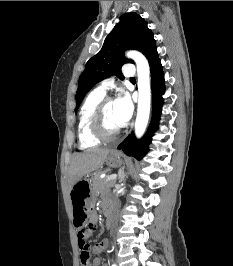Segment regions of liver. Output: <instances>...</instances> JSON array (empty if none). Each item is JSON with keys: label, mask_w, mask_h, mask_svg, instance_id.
<instances>
[{"label": "liver", "mask_w": 233, "mask_h": 266, "mask_svg": "<svg viewBox=\"0 0 233 266\" xmlns=\"http://www.w3.org/2000/svg\"><path fill=\"white\" fill-rule=\"evenodd\" d=\"M110 152L109 149L95 148L82 153H75L69 167V189L71 190L85 175L100 168Z\"/></svg>", "instance_id": "liver-1"}]
</instances>
